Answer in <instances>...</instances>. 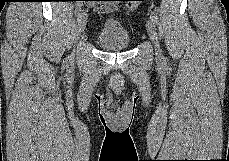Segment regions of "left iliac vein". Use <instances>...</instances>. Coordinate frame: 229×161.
<instances>
[{"mask_svg": "<svg viewBox=\"0 0 229 161\" xmlns=\"http://www.w3.org/2000/svg\"><path fill=\"white\" fill-rule=\"evenodd\" d=\"M146 28H147V33L151 41L153 42L156 55H160L161 49L159 45L158 34H157L156 27L152 19L147 20Z\"/></svg>", "mask_w": 229, "mask_h": 161, "instance_id": "obj_1", "label": "left iliac vein"}]
</instances>
